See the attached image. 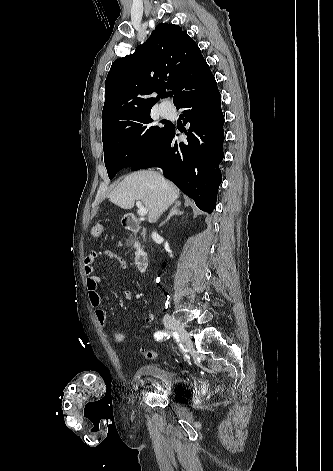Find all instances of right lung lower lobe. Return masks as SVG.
Instances as JSON below:
<instances>
[{
  "label": "right lung lower lobe",
  "mask_w": 333,
  "mask_h": 471,
  "mask_svg": "<svg viewBox=\"0 0 333 471\" xmlns=\"http://www.w3.org/2000/svg\"><path fill=\"white\" fill-rule=\"evenodd\" d=\"M176 107L183 109V123L189 125L187 141L180 142L175 126L170 125L161 142L131 170L162 168L164 176L198 208L211 213L222 182L219 164L224 157V115L212 73L196 82Z\"/></svg>",
  "instance_id": "1"
}]
</instances>
